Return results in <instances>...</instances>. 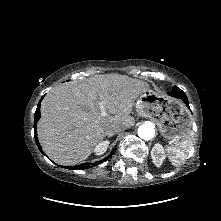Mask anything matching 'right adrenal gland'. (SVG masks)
I'll use <instances>...</instances> for the list:
<instances>
[{
  "label": "right adrenal gland",
  "instance_id": "obj_1",
  "mask_svg": "<svg viewBox=\"0 0 221 221\" xmlns=\"http://www.w3.org/2000/svg\"><path fill=\"white\" fill-rule=\"evenodd\" d=\"M113 135H114V133H112V134H107V137L110 138V137H112Z\"/></svg>",
  "mask_w": 221,
  "mask_h": 221
}]
</instances>
